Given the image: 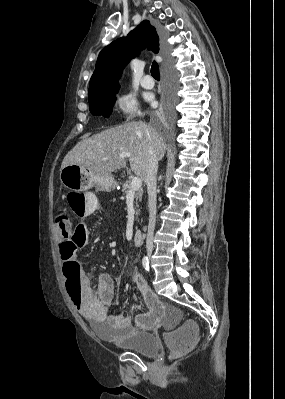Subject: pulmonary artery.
<instances>
[{
  "label": "pulmonary artery",
  "mask_w": 285,
  "mask_h": 399,
  "mask_svg": "<svg viewBox=\"0 0 285 399\" xmlns=\"http://www.w3.org/2000/svg\"><path fill=\"white\" fill-rule=\"evenodd\" d=\"M141 86L145 89H152L154 87V81L149 73H146L141 81Z\"/></svg>",
  "instance_id": "1"
}]
</instances>
